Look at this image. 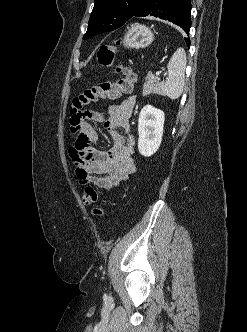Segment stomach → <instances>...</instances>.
Masks as SVG:
<instances>
[{"label": "stomach", "instance_id": "obj_1", "mask_svg": "<svg viewBox=\"0 0 247 332\" xmlns=\"http://www.w3.org/2000/svg\"><path fill=\"white\" fill-rule=\"evenodd\" d=\"M154 40V34L144 25H132L124 36L123 45L126 48L140 49L150 45Z\"/></svg>", "mask_w": 247, "mask_h": 332}]
</instances>
